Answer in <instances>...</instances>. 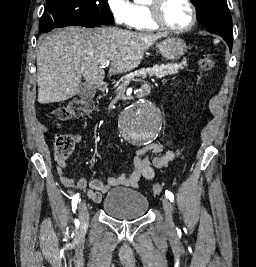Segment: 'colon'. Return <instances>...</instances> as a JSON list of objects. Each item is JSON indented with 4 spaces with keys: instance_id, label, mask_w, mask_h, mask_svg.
Wrapping results in <instances>:
<instances>
[{
    "instance_id": "1",
    "label": "colon",
    "mask_w": 256,
    "mask_h": 267,
    "mask_svg": "<svg viewBox=\"0 0 256 267\" xmlns=\"http://www.w3.org/2000/svg\"><path fill=\"white\" fill-rule=\"evenodd\" d=\"M199 67L202 71H211L214 67V62L210 58H203L199 62ZM94 110V103L89 99H76L70 101L65 107L58 109L56 113V125L62 126L64 123L89 116ZM75 147L74 138L70 135H58L55 139V149L59 160L66 159ZM152 192L155 195H160L164 192L162 183H154Z\"/></svg>"
}]
</instances>
